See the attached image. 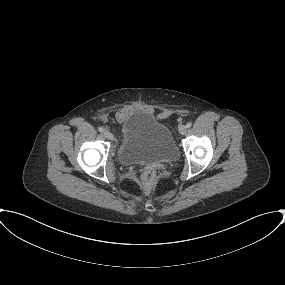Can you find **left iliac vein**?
Instances as JSON below:
<instances>
[{
  "label": "left iliac vein",
  "mask_w": 285,
  "mask_h": 285,
  "mask_svg": "<svg viewBox=\"0 0 285 285\" xmlns=\"http://www.w3.org/2000/svg\"><path fill=\"white\" fill-rule=\"evenodd\" d=\"M186 131H187V127L185 126V125H181L180 127H179V132H180V134H185L186 133Z\"/></svg>",
  "instance_id": "obj_1"
}]
</instances>
